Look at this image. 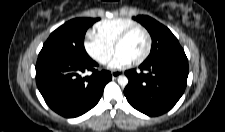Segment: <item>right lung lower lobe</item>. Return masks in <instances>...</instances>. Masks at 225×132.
Listing matches in <instances>:
<instances>
[{"mask_svg": "<svg viewBox=\"0 0 225 132\" xmlns=\"http://www.w3.org/2000/svg\"><path fill=\"white\" fill-rule=\"evenodd\" d=\"M90 57L75 59L56 54H39L36 82L45 102L56 113L74 118L92 109L100 100L105 85L112 79ZM91 70V76L80 73Z\"/></svg>", "mask_w": 225, "mask_h": 132, "instance_id": "obj_1", "label": "right lung lower lobe"}]
</instances>
